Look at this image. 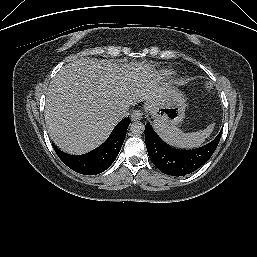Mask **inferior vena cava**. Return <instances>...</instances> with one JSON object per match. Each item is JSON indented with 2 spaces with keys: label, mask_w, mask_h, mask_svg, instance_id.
Here are the masks:
<instances>
[{
  "label": "inferior vena cava",
  "mask_w": 257,
  "mask_h": 257,
  "mask_svg": "<svg viewBox=\"0 0 257 257\" xmlns=\"http://www.w3.org/2000/svg\"><path fill=\"white\" fill-rule=\"evenodd\" d=\"M129 107H122L117 111V117L119 119L125 118L129 116V112H128Z\"/></svg>",
  "instance_id": "1"
}]
</instances>
